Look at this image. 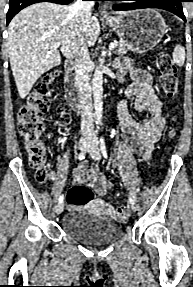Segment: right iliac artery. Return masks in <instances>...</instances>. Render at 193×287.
Masks as SVG:
<instances>
[{
    "mask_svg": "<svg viewBox=\"0 0 193 287\" xmlns=\"http://www.w3.org/2000/svg\"><path fill=\"white\" fill-rule=\"evenodd\" d=\"M85 157H86V151H82V152L79 154L78 159H79L80 161H83V160L85 159ZM58 200H59V202H62V201L64 200V194L60 195V197H59Z\"/></svg>",
    "mask_w": 193,
    "mask_h": 287,
    "instance_id": "obj_1",
    "label": "right iliac artery"
}]
</instances>
